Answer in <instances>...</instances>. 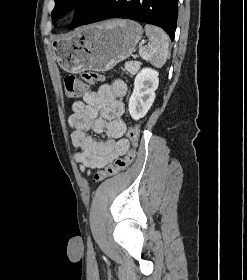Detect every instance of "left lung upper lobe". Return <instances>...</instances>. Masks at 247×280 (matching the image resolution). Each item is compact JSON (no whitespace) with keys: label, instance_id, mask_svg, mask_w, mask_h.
I'll return each instance as SVG.
<instances>
[{"label":"left lung upper lobe","instance_id":"5c2ea615","mask_svg":"<svg viewBox=\"0 0 247 280\" xmlns=\"http://www.w3.org/2000/svg\"><path fill=\"white\" fill-rule=\"evenodd\" d=\"M76 0H55V8L52 11V21L55 23L69 9ZM83 3L75 9L74 17L70 26L77 27L98 6L106 0H81Z\"/></svg>","mask_w":247,"mask_h":280}]
</instances>
